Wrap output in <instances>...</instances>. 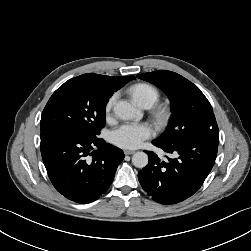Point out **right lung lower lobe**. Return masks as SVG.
<instances>
[{
    "mask_svg": "<svg viewBox=\"0 0 251 251\" xmlns=\"http://www.w3.org/2000/svg\"><path fill=\"white\" fill-rule=\"evenodd\" d=\"M40 149L55 189L82 204L97 200L108 190L124 159L121 149L101 138L83 137L63 129L41 132Z\"/></svg>",
    "mask_w": 251,
    "mask_h": 251,
    "instance_id": "obj_1",
    "label": "right lung lower lobe"
}]
</instances>
